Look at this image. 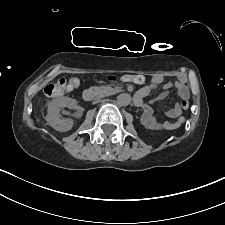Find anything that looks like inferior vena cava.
Segmentation results:
<instances>
[{
	"instance_id": "602c4592",
	"label": "inferior vena cava",
	"mask_w": 225,
	"mask_h": 225,
	"mask_svg": "<svg viewBox=\"0 0 225 225\" xmlns=\"http://www.w3.org/2000/svg\"><path fill=\"white\" fill-rule=\"evenodd\" d=\"M98 102H100V100L99 99H95V101L93 103L95 104V103H98Z\"/></svg>"
}]
</instances>
